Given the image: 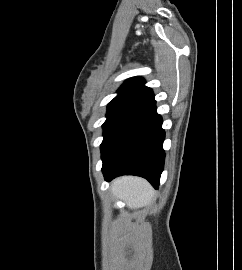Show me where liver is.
I'll use <instances>...</instances> for the list:
<instances>
[{"label": "liver", "instance_id": "1", "mask_svg": "<svg viewBox=\"0 0 242 270\" xmlns=\"http://www.w3.org/2000/svg\"><path fill=\"white\" fill-rule=\"evenodd\" d=\"M111 189L113 195L125 201L129 208L145 206L154 197V190L149 183L139 177H120L112 182Z\"/></svg>", "mask_w": 242, "mask_h": 270}]
</instances>
